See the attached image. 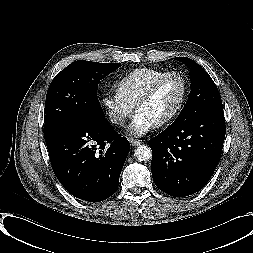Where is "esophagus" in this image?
<instances>
[{"instance_id": "34e87169", "label": "esophagus", "mask_w": 253, "mask_h": 253, "mask_svg": "<svg viewBox=\"0 0 253 253\" xmlns=\"http://www.w3.org/2000/svg\"><path fill=\"white\" fill-rule=\"evenodd\" d=\"M129 142L132 146H138L140 145V141L138 139L129 138Z\"/></svg>"}]
</instances>
